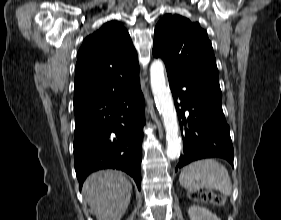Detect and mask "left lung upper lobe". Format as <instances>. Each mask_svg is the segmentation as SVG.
Masks as SVG:
<instances>
[{"instance_id": "5c2ea615", "label": "left lung upper lobe", "mask_w": 281, "mask_h": 220, "mask_svg": "<svg viewBox=\"0 0 281 220\" xmlns=\"http://www.w3.org/2000/svg\"><path fill=\"white\" fill-rule=\"evenodd\" d=\"M153 55L164 60L167 74L196 79L221 94L213 48L198 23L166 14L155 28Z\"/></svg>"}]
</instances>
